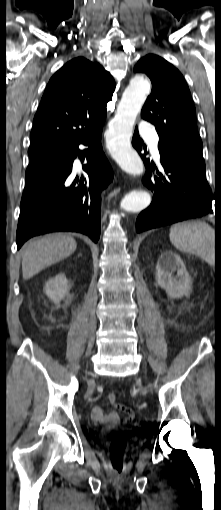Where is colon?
<instances>
[{
    "label": "colon",
    "instance_id": "1",
    "mask_svg": "<svg viewBox=\"0 0 221 510\" xmlns=\"http://www.w3.org/2000/svg\"><path fill=\"white\" fill-rule=\"evenodd\" d=\"M108 399L111 403L116 404L118 407V403H116V396L113 393L108 395ZM134 415L132 412H127L126 417L124 418V423H129L133 420ZM127 450L126 440L121 435H116L109 444V457L111 462V468L114 473L121 474L123 471V459Z\"/></svg>",
    "mask_w": 221,
    "mask_h": 510
}]
</instances>
